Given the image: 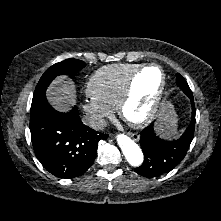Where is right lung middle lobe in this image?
Returning <instances> with one entry per match:
<instances>
[{"label":"right lung middle lobe","instance_id":"right-lung-middle-lobe-1","mask_svg":"<svg viewBox=\"0 0 221 221\" xmlns=\"http://www.w3.org/2000/svg\"><path fill=\"white\" fill-rule=\"evenodd\" d=\"M85 65V62L77 59H66L62 62L52 65L40 78L33 94L32 103H35L40 99L41 96L45 94L47 87L55 77L58 75H70L76 71L81 70L85 67Z\"/></svg>","mask_w":221,"mask_h":221}]
</instances>
